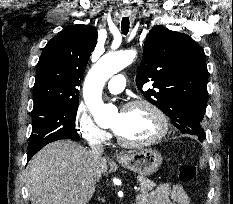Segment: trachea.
I'll use <instances>...</instances> for the list:
<instances>
[{
  "label": "trachea",
  "mask_w": 233,
  "mask_h": 204,
  "mask_svg": "<svg viewBox=\"0 0 233 204\" xmlns=\"http://www.w3.org/2000/svg\"><path fill=\"white\" fill-rule=\"evenodd\" d=\"M129 25V17H123L121 22V30L124 35H127V33L129 32Z\"/></svg>",
  "instance_id": "obj_1"
}]
</instances>
